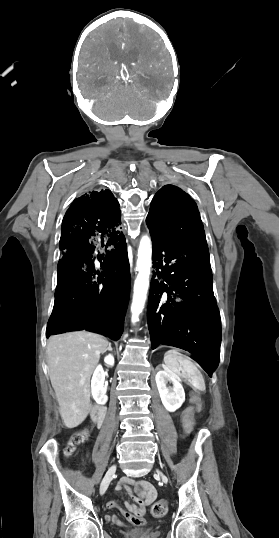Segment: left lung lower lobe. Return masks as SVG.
<instances>
[{
	"label": "left lung lower lobe",
	"mask_w": 279,
	"mask_h": 538,
	"mask_svg": "<svg viewBox=\"0 0 279 538\" xmlns=\"http://www.w3.org/2000/svg\"><path fill=\"white\" fill-rule=\"evenodd\" d=\"M152 240L157 270L147 310L151 347L189 351L211 377L220 360L221 321L208 247Z\"/></svg>",
	"instance_id": "0a47b994"
}]
</instances>
